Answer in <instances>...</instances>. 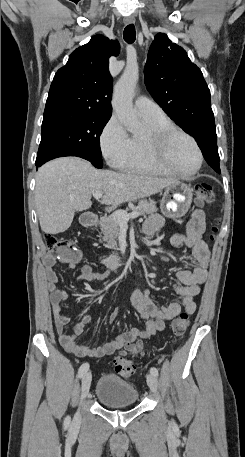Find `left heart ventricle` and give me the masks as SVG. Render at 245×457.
<instances>
[{"label": "left heart ventricle", "mask_w": 245, "mask_h": 457, "mask_svg": "<svg viewBox=\"0 0 245 457\" xmlns=\"http://www.w3.org/2000/svg\"><path fill=\"white\" fill-rule=\"evenodd\" d=\"M153 156L163 165L181 172H190L197 165V156L191 142L182 135L174 136L167 145L154 143Z\"/></svg>", "instance_id": "1"}]
</instances>
